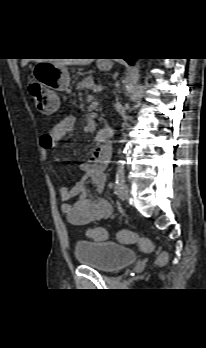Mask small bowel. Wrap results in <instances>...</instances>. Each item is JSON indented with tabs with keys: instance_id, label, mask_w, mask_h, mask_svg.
I'll list each match as a JSON object with an SVG mask.
<instances>
[{
	"instance_id": "obj_1",
	"label": "small bowel",
	"mask_w": 206,
	"mask_h": 348,
	"mask_svg": "<svg viewBox=\"0 0 206 348\" xmlns=\"http://www.w3.org/2000/svg\"><path fill=\"white\" fill-rule=\"evenodd\" d=\"M75 126V118L67 116L50 130L41 136L40 146L45 158L49 151L54 149ZM110 155V149L105 146L97 147L91 160L82 163L80 169L83 173L82 180L73 187H61L60 199L62 201V211L67 216L70 223L74 225H85L91 222L106 219L111 215L112 208L110 203L103 198H90L85 181L89 180L98 190L105 185L106 164ZM73 199L72 202H70Z\"/></svg>"
}]
</instances>
